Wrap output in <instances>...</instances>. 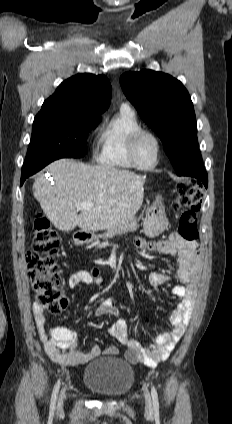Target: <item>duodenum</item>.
<instances>
[{"mask_svg":"<svg viewBox=\"0 0 232 424\" xmlns=\"http://www.w3.org/2000/svg\"><path fill=\"white\" fill-rule=\"evenodd\" d=\"M94 238V235L93 234H90V233H79L78 235H77V241H86V240H89V239H93Z\"/></svg>","mask_w":232,"mask_h":424,"instance_id":"obj_1","label":"duodenum"}]
</instances>
